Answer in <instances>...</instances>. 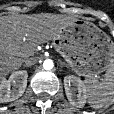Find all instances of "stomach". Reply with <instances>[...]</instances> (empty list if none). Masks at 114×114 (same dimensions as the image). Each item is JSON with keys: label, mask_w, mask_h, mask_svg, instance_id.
<instances>
[{"label": "stomach", "mask_w": 114, "mask_h": 114, "mask_svg": "<svg viewBox=\"0 0 114 114\" xmlns=\"http://www.w3.org/2000/svg\"><path fill=\"white\" fill-rule=\"evenodd\" d=\"M54 39L57 51L76 73L96 81L114 66V42L94 24L79 20Z\"/></svg>", "instance_id": "obj_1"}]
</instances>
